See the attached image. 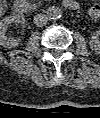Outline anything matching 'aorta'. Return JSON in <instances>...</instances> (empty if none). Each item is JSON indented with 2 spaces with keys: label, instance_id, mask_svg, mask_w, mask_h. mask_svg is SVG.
<instances>
[{
  "label": "aorta",
  "instance_id": "aorta-1",
  "mask_svg": "<svg viewBox=\"0 0 100 118\" xmlns=\"http://www.w3.org/2000/svg\"><path fill=\"white\" fill-rule=\"evenodd\" d=\"M62 10L60 7L51 6L47 9V17L52 20H56L61 18Z\"/></svg>",
  "mask_w": 100,
  "mask_h": 118
}]
</instances>
